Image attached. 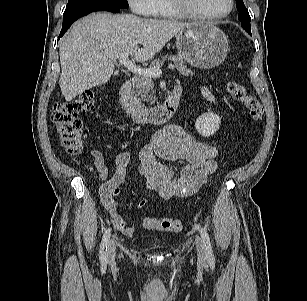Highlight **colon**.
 Returning a JSON list of instances; mask_svg holds the SVG:
<instances>
[{
	"label": "colon",
	"instance_id": "colon-1",
	"mask_svg": "<svg viewBox=\"0 0 307 301\" xmlns=\"http://www.w3.org/2000/svg\"><path fill=\"white\" fill-rule=\"evenodd\" d=\"M227 90L231 97L241 103L250 114L254 122L261 121L263 108L259 100L250 95L238 81H228ZM95 96L92 91H84L69 101L58 103L52 114V121L61 138L66 152L72 156H79L83 152V134L80 116L94 107ZM145 229L178 233L183 224L180 219H156L146 217L142 223Z\"/></svg>",
	"mask_w": 307,
	"mask_h": 301
}]
</instances>
